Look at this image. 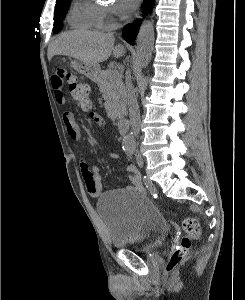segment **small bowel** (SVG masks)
Segmentation results:
<instances>
[{"instance_id":"c3829d8e","label":"small bowel","mask_w":245,"mask_h":300,"mask_svg":"<svg viewBox=\"0 0 245 300\" xmlns=\"http://www.w3.org/2000/svg\"><path fill=\"white\" fill-rule=\"evenodd\" d=\"M51 85L57 104L64 105L66 99L63 93V79L54 73L51 78ZM62 117L70 138L74 141H80V128L77 121L75 120L73 113L70 111H65ZM89 118L97 126H104V119L99 113L91 111L89 113ZM108 156L112 159L120 158V155L115 152L109 153ZM80 167L82 178L88 193L93 198H99L102 195V184L98 167L94 164H90L84 159L81 160ZM127 170L129 172V180L131 182L129 189L142 191L143 187L140 173L133 166H129Z\"/></svg>"}]
</instances>
